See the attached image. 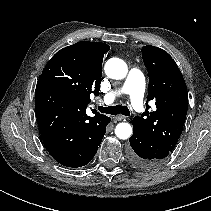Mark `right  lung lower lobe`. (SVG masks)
I'll list each match as a JSON object with an SVG mask.
<instances>
[{"instance_id":"1","label":"right lung lower lobe","mask_w":211,"mask_h":211,"mask_svg":"<svg viewBox=\"0 0 211 211\" xmlns=\"http://www.w3.org/2000/svg\"><path fill=\"white\" fill-rule=\"evenodd\" d=\"M87 104L60 88L38 83L35 108L44 145L50 155L67 167H81L95 156L110 117L86 115Z\"/></svg>"}]
</instances>
